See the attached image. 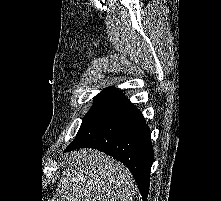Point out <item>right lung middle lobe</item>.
<instances>
[{
	"label": "right lung middle lobe",
	"mask_w": 221,
	"mask_h": 201,
	"mask_svg": "<svg viewBox=\"0 0 221 201\" xmlns=\"http://www.w3.org/2000/svg\"><path fill=\"white\" fill-rule=\"evenodd\" d=\"M117 91L118 90L116 89H105L94 98V104L84 116L80 129L87 124V122L115 95Z\"/></svg>",
	"instance_id": "1"
}]
</instances>
